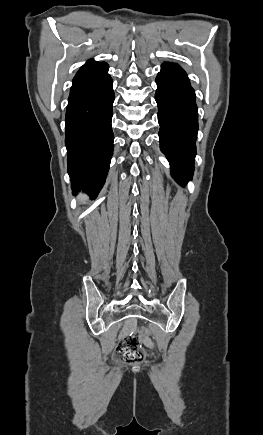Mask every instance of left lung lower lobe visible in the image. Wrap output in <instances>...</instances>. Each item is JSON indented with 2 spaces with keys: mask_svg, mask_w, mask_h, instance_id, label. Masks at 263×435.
Wrapping results in <instances>:
<instances>
[{
  "mask_svg": "<svg viewBox=\"0 0 263 435\" xmlns=\"http://www.w3.org/2000/svg\"><path fill=\"white\" fill-rule=\"evenodd\" d=\"M156 83L160 148L170 162L173 178L184 186L192 179L196 155L195 92L185 71L175 63L162 64Z\"/></svg>",
  "mask_w": 263,
  "mask_h": 435,
  "instance_id": "1",
  "label": "left lung lower lobe"
}]
</instances>
